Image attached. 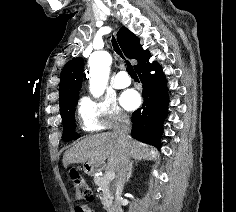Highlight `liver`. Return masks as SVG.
<instances>
[{
    "mask_svg": "<svg viewBox=\"0 0 236 212\" xmlns=\"http://www.w3.org/2000/svg\"><path fill=\"white\" fill-rule=\"evenodd\" d=\"M127 148L130 156L135 160L159 157L155 148L133 140L131 137H128ZM121 152L122 146L114 133L96 134L82 139L67 150L63 156V165L67 168L73 163L87 162L98 168L108 159L107 169L117 172Z\"/></svg>",
    "mask_w": 236,
    "mask_h": 212,
    "instance_id": "1",
    "label": "liver"
}]
</instances>
